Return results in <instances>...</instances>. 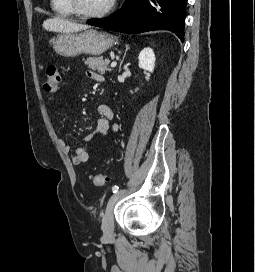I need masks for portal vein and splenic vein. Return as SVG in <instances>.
<instances>
[{"instance_id":"18ae733b","label":"portal vein and splenic vein","mask_w":255,"mask_h":272,"mask_svg":"<svg viewBox=\"0 0 255 272\" xmlns=\"http://www.w3.org/2000/svg\"><path fill=\"white\" fill-rule=\"evenodd\" d=\"M116 65H117V62L116 61H112L111 67H116Z\"/></svg>"}]
</instances>
